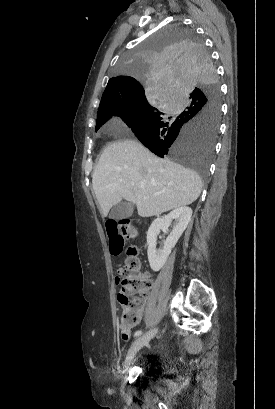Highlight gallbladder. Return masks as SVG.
Wrapping results in <instances>:
<instances>
[{
    "instance_id": "gallbladder-1",
    "label": "gallbladder",
    "mask_w": 275,
    "mask_h": 409,
    "mask_svg": "<svg viewBox=\"0 0 275 409\" xmlns=\"http://www.w3.org/2000/svg\"><path fill=\"white\" fill-rule=\"evenodd\" d=\"M133 213L132 202H117L109 213V219H127Z\"/></svg>"
}]
</instances>
